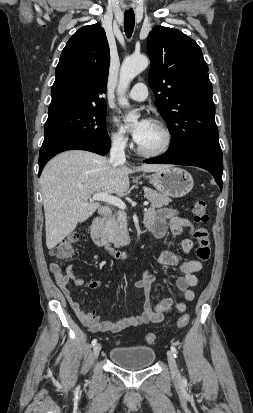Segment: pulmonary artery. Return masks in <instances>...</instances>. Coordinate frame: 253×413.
I'll return each instance as SVG.
<instances>
[{
	"label": "pulmonary artery",
	"mask_w": 253,
	"mask_h": 413,
	"mask_svg": "<svg viewBox=\"0 0 253 413\" xmlns=\"http://www.w3.org/2000/svg\"><path fill=\"white\" fill-rule=\"evenodd\" d=\"M148 96V89L144 83H137L128 93V97L134 101H144Z\"/></svg>",
	"instance_id": "e3ab8cb5"
}]
</instances>
